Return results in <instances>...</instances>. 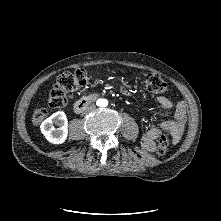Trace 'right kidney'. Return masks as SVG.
<instances>
[{
	"instance_id": "right-kidney-1",
	"label": "right kidney",
	"mask_w": 221,
	"mask_h": 221,
	"mask_svg": "<svg viewBox=\"0 0 221 221\" xmlns=\"http://www.w3.org/2000/svg\"><path fill=\"white\" fill-rule=\"evenodd\" d=\"M40 129L50 143H64L68 136V120L65 113L63 111L54 113L42 122Z\"/></svg>"
}]
</instances>
